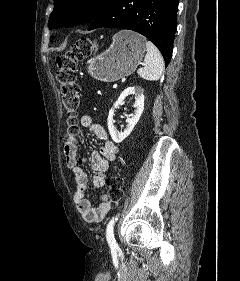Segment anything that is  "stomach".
<instances>
[{
  "label": "stomach",
  "instance_id": "0dacf381",
  "mask_svg": "<svg viewBox=\"0 0 240 281\" xmlns=\"http://www.w3.org/2000/svg\"><path fill=\"white\" fill-rule=\"evenodd\" d=\"M146 51V39L133 31H120L112 45L89 60L88 72L97 80L113 82L131 75Z\"/></svg>",
  "mask_w": 240,
  "mask_h": 281
}]
</instances>
